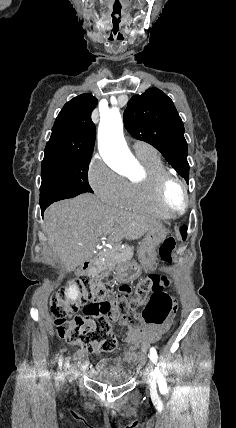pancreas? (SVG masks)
I'll use <instances>...</instances> for the list:
<instances>
[{
    "instance_id": "obj_1",
    "label": "pancreas",
    "mask_w": 236,
    "mask_h": 428,
    "mask_svg": "<svg viewBox=\"0 0 236 428\" xmlns=\"http://www.w3.org/2000/svg\"><path fill=\"white\" fill-rule=\"evenodd\" d=\"M111 252L112 254L109 258H106V262L98 260L97 264H95L100 276H105V272L108 270L109 266H113L112 262H115V264H123V262H129V260L133 258L132 246L121 248L120 244H115Z\"/></svg>"
}]
</instances>
